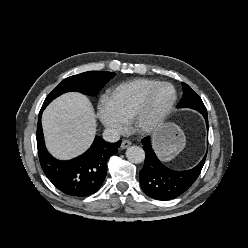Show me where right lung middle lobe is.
Instances as JSON below:
<instances>
[{"label": "right lung middle lobe", "instance_id": "obj_1", "mask_svg": "<svg viewBox=\"0 0 248 248\" xmlns=\"http://www.w3.org/2000/svg\"><path fill=\"white\" fill-rule=\"evenodd\" d=\"M115 76L113 72L88 71L64 79L45 99L43 105L47 106L59 95L76 91L86 95H96L99 90Z\"/></svg>", "mask_w": 248, "mask_h": 248}]
</instances>
